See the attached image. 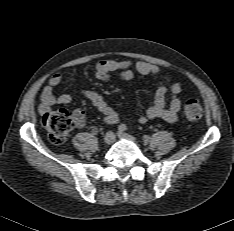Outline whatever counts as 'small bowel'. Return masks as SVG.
<instances>
[{"label":"small bowel","instance_id":"small-bowel-1","mask_svg":"<svg viewBox=\"0 0 234 231\" xmlns=\"http://www.w3.org/2000/svg\"><path fill=\"white\" fill-rule=\"evenodd\" d=\"M133 68L142 75L163 76L154 97L153 104L139 118L140 123L145 124L155 119H163L170 123H175L179 120L178 112L182 106L180 93L183 85L180 81H170V77L164 75L162 69L149 62L139 61L134 65L130 61H117L112 59L99 60L94 65L95 76L102 81H108L114 73H117L119 78L128 81L133 77ZM63 75L60 72L54 73L48 84L44 87L41 93L40 111L48 112L54 104L67 105L70 104L72 98L68 94L55 95V88L62 82ZM170 93L169 105L166 106V95ZM83 96L89 100L93 106L104 116V120L111 121L118 117L117 112L111 107L104 97L95 90H86ZM74 119L78 127H82L85 121V114L82 110L74 112Z\"/></svg>","mask_w":234,"mask_h":231}]
</instances>
